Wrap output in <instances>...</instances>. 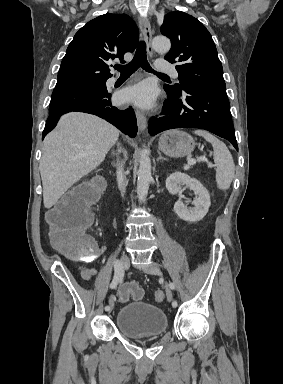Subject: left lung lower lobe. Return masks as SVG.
<instances>
[{
	"label": "left lung lower lobe",
	"mask_w": 283,
	"mask_h": 384,
	"mask_svg": "<svg viewBox=\"0 0 283 384\" xmlns=\"http://www.w3.org/2000/svg\"><path fill=\"white\" fill-rule=\"evenodd\" d=\"M166 92L161 116L148 124L150 135L173 128H200L227 139L238 150L226 88L181 84L179 91Z\"/></svg>",
	"instance_id": "obj_1"
}]
</instances>
